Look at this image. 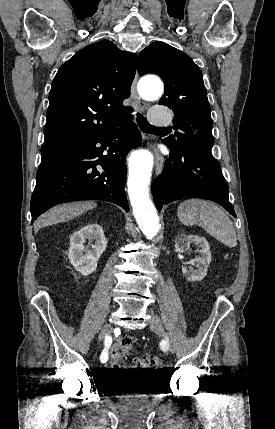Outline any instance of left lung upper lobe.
I'll return each mask as SVG.
<instances>
[{"label": "left lung upper lobe", "mask_w": 275, "mask_h": 429, "mask_svg": "<svg viewBox=\"0 0 275 429\" xmlns=\"http://www.w3.org/2000/svg\"><path fill=\"white\" fill-rule=\"evenodd\" d=\"M140 76L157 74L165 84L160 105L173 110L174 135L163 140L170 149L190 147L211 151L212 119L202 72L182 51L164 42H153L138 55Z\"/></svg>", "instance_id": "1"}]
</instances>
